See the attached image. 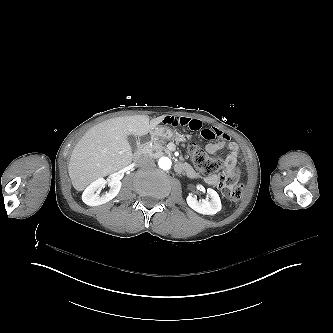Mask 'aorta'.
<instances>
[{
  "mask_svg": "<svg viewBox=\"0 0 333 333\" xmlns=\"http://www.w3.org/2000/svg\"><path fill=\"white\" fill-rule=\"evenodd\" d=\"M171 160L168 157H162L158 161V165L163 170H168L171 168Z\"/></svg>",
  "mask_w": 333,
  "mask_h": 333,
  "instance_id": "aorta-1",
  "label": "aorta"
}]
</instances>
